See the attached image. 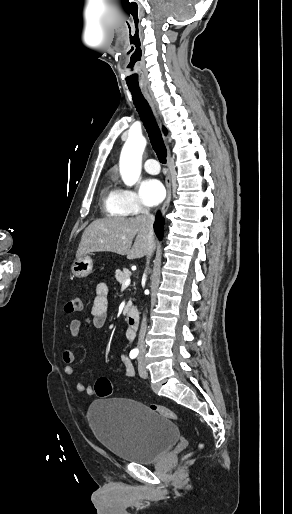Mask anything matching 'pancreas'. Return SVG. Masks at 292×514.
<instances>
[{
	"instance_id": "1",
	"label": "pancreas",
	"mask_w": 292,
	"mask_h": 514,
	"mask_svg": "<svg viewBox=\"0 0 292 514\" xmlns=\"http://www.w3.org/2000/svg\"><path fill=\"white\" fill-rule=\"evenodd\" d=\"M130 274H131V272H129V270H126V268H123V272H121V270H116L115 278H116L117 282H120V284H124V282H126V280H128ZM130 304H132V302H128V306H130Z\"/></svg>"
}]
</instances>
